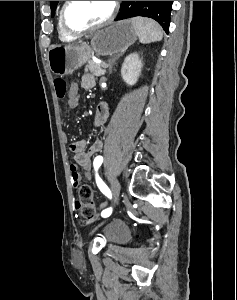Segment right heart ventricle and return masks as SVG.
Returning a JSON list of instances; mask_svg holds the SVG:
<instances>
[{"label":"right heart ventricle","mask_w":237,"mask_h":300,"mask_svg":"<svg viewBox=\"0 0 237 300\" xmlns=\"http://www.w3.org/2000/svg\"><path fill=\"white\" fill-rule=\"evenodd\" d=\"M62 9V8H61ZM61 9H60V13H61ZM59 36L61 39H68L69 35L63 30L61 23H60V18H59Z\"/></svg>","instance_id":"e07e8e85"}]
</instances>
